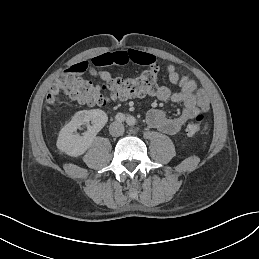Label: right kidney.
I'll list each match as a JSON object with an SVG mask.
<instances>
[{"label": "right kidney", "mask_w": 259, "mask_h": 259, "mask_svg": "<svg viewBox=\"0 0 259 259\" xmlns=\"http://www.w3.org/2000/svg\"><path fill=\"white\" fill-rule=\"evenodd\" d=\"M92 121V126L88 128L83 136L75 135L74 132L80 129L81 125ZM108 121V116L101 109H91L80 111L75 114L59 132L56 147L59 151L72 158H79L84 155L92 146L98 132H100Z\"/></svg>", "instance_id": "right-kidney-1"}]
</instances>
